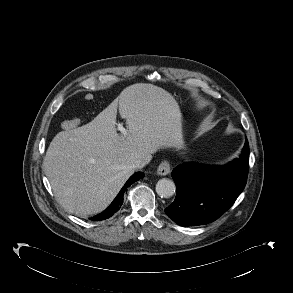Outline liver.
Listing matches in <instances>:
<instances>
[{
    "label": "liver",
    "mask_w": 293,
    "mask_h": 293,
    "mask_svg": "<svg viewBox=\"0 0 293 293\" xmlns=\"http://www.w3.org/2000/svg\"><path fill=\"white\" fill-rule=\"evenodd\" d=\"M117 109L128 135L117 133ZM179 106L173 96L152 84L126 87L91 122L59 132L43 166L55 197L78 216L105 210L134 173V162L160 148L183 141Z\"/></svg>",
    "instance_id": "obj_1"
}]
</instances>
